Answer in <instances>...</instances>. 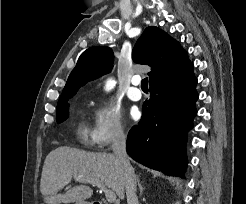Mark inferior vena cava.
<instances>
[{"instance_id":"inferior-vena-cava-1","label":"inferior vena cava","mask_w":246,"mask_h":204,"mask_svg":"<svg viewBox=\"0 0 246 204\" xmlns=\"http://www.w3.org/2000/svg\"><path fill=\"white\" fill-rule=\"evenodd\" d=\"M112 148L114 156L123 170L127 204H138L136 195V176L128 159L126 152V136L123 131H118L113 141Z\"/></svg>"}]
</instances>
